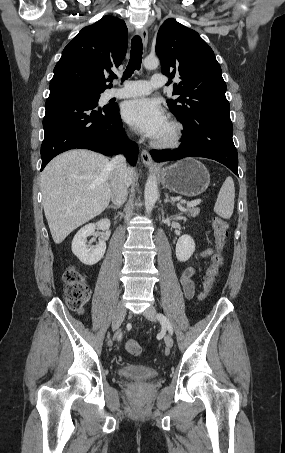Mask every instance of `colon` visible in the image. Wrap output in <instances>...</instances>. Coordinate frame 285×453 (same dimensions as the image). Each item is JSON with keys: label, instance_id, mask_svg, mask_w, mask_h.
I'll list each match as a JSON object with an SVG mask.
<instances>
[{"label": "colon", "instance_id": "obj_1", "mask_svg": "<svg viewBox=\"0 0 285 453\" xmlns=\"http://www.w3.org/2000/svg\"><path fill=\"white\" fill-rule=\"evenodd\" d=\"M212 228L216 252L211 256L203 276L201 299L208 297L224 262L222 251L228 236V225L222 218L215 217L212 221ZM63 282L67 305L74 311H82L89 300V285L86 277L76 267L68 266L63 272ZM125 348L132 355H139L142 352L141 345L134 339H128L125 342Z\"/></svg>", "mask_w": 285, "mask_h": 453}]
</instances>
